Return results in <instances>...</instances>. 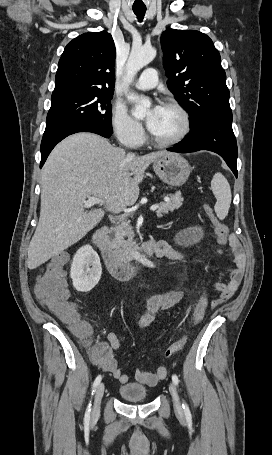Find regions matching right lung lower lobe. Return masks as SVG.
<instances>
[{"label":"right lung lower lobe","instance_id":"obj_1","mask_svg":"<svg viewBox=\"0 0 272 455\" xmlns=\"http://www.w3.org/2000/svg\"><path fill=\"white\" fill-rule=\"evenodd\" d=\"M77 132H92L99 134L105 138H109L112 132L104 127L92 122H76L59 124L45 129L42 142H41V163L40 168L45 163L49 153L52 149L63 140L65 137Z\"/></svg>","mask_w":272,"mask_h":455}]
</instances>
